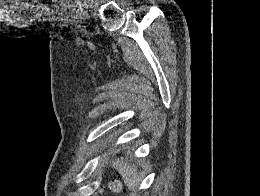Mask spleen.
<instances>
[{
    "mask_svg": "<svg viewBox=\"0 0 260 196\" xmlns=\"http://www.w3.org/2000/svg\"><path fill=\"white\" fill-rule=\"evenodd\" d=\"M112 168L118 170L124 184H126L129 190H136L140 182H142V176H140L137 166H129L128 162L123 160V158H116L112 162Z\"/></svg>",
    "mask_w": 260,
    "mask_h": 196,
    "instance_id": "1",
    "label": "spleen"
}]
</instances>
